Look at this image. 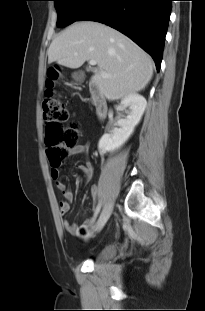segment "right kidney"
Instances as JSON below:
<instances>
[{"instance_id":"1","label":"right kidney","mask_w":205,"mask_h":311,"mask_svg":"<svg viewBox=\"0 0 205 311\" xmlns=\"http://www.w3.org/2000/svg\"><path fill=\"white\" fill-rule=\"evenodd\" d=\"M146 106V99L139 94H131L121 101L118 110L121 111L129 107L130 112L125 119L117 121L119 128H114L111 134H104L101 137L98 144L100 153L113 152L129 139L140 122Z\"/></svg>"}]
</instances>
